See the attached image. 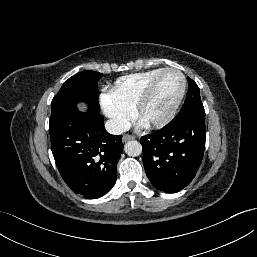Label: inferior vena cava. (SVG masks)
I'll return each instance as SVG.
<instances>
[{"mask_svg": "<svg viewBox=\"0 0 257 257\" xmlns=\"http://www.w3.org/2000/svg\"><path fill=\"white\" fill-rule=\"evenodd\" d=\"M105 128L110 134L120 135L129 129V124L123 120L113 118L106 121Z\"/></svg>", "mask_w": 257, "mask_h": 257, "instance_id": "602c4592", "label": "inferior vena cava"}]
</instances>
